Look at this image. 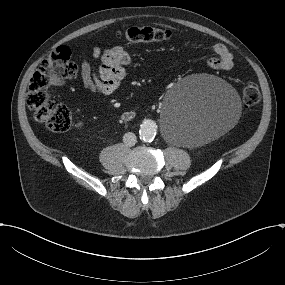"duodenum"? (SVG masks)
Segmentation results:
<instances>
[{
    "mask_svg": "<svg viewBox=\"0 0 285 285\" xmlns=\"http://www.w3.org/2000/svg\"><path fill=\"white\" fill-rule=\"evenodd\" d=\"M135 117V111L133 110H126L121 114V120L124 122H129L133 120Z\"/></svg>",
    "mask_w": 285,
    "mask_h": 285,
    "instance_id": "410a0bca",
    "label": "duodenum"
}]
</instances>
